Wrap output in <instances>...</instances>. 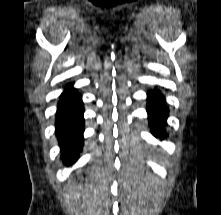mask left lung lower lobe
I'll list each match as a JSON object with an SVG mask.
<instances>
[{
  "label": "left lung lower lobe",
  "mask_w": 221,
  "mask_h": 215,
  "mask_svg": "<svg viewBox=\"0 0 221 215\" xmlns=\"http://www.w3.org/2000/svg\"><path fill=\"white\" fill-rule=\"evenodd\" d=\"M147 112L151 132L155 137L163 139L166 137L164 127L168 117V108L165 105L164 96L157 90L147 93Z\"/></svg>",
  "instance_id": "1"
}]
</instances>
